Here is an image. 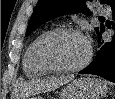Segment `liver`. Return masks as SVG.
Wrapping results in <instances>:
<instances>
[{"label":"liver","mask_w":115,"mask_h":99,"mask_svg":"<svg viewBox=\"0 0 115 99\" xmlns=\"http://www.w3.org/2000/svg\"><path fill=\"white\" fill-rule=\"evenodd\" d=\"M74 79V75L53 77L43 80H31L19 84V91L21 98L25 99L30 95L37 94L40 92H49L57 89Z\"/></svg>","instance_id":"6515ba94"}]
</instances>
